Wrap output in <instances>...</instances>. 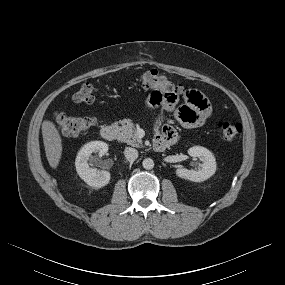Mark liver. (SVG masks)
Returning <instances> with one entry per match:
<instances>
[{"instance_id":"1","label":"liver","mask_w":285,"mask_h":285,"mask_svg":"<svg viewBox=\"0 0 285 285\" xmlns=\"http://www.w3.org/2000/svg\"><path fill=\"white\" fill-rule=\"evenodd\" d=\"M42 136L49 165L56 169L62 156V139L56 125L48 120L42 123Z\"/></svg>"}]
</instances>
